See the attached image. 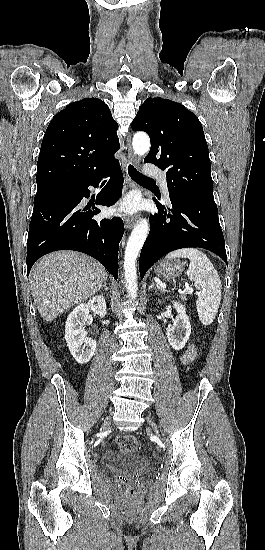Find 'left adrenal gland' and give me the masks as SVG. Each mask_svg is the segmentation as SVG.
I'll return each instance as SVG.
<instances>
[{"instance_id":"left-adrenal-gland-1","label":"left adrenal gland","mask_w":265,"mask_h":550,"mask_svg":"<svg viewBox=\"0 0 265 550\" xmlns=\"http://www.w3.org/2000/svg\"><path fill=\"white\" fill-rule=\"evenodd\" d=\"M154 288L160 289L157 285H155L154 281L152 280V281H151V285H150V287H149V290H150V289H154Z\"/></svg>"}]
</instances>
